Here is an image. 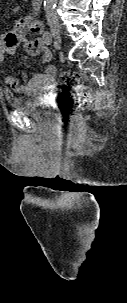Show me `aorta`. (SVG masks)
<instances>
[{
	"mask_svg": "<svg viewBox=\"0 0 127 303\" xmlns=\"http://www.w3.org/2000/svg\"><path fill=\"white\" fill-rule=\"evenodd\" d=\"M56 2H57V0H45L44 5L49 6V7H53L56 4Z\"/></svg>",
	"mask_w": 127,
	"mask_h": 303,
	"instance_id": "762f6f07",
	"label": "aorta"
}]
</instances>
